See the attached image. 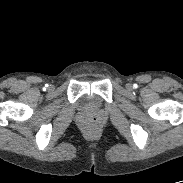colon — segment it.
I'll return each mask as SVG.
<instances>
[{
	"mask_svg": "<svg viewBox=\"0 0 183 183\" xmlns=\"http://www.w3.org/2000/svg\"><path fill=\"white\" fill-rule=\"evenodd\" d=\"M87 122L90 125V129L93 130L94 129V120L91 118H87Z\"/></svg>",
	"mask_w": 183,
	"mask_h": 183,
	"instance_id": "obj_1",
	"label": "colon"
}]
</instances>
